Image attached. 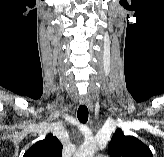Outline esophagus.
I'll list each match as a JSON object with an SVG mask.
<instances>
[{"label": "esophagus", "mask_w": 164, "mask_h": 157, "mask_svg": "<svg viewBox=\"0 0 164 157\" xmlns=\"http://www.w3.org/2000/svg\"><path fill=\"white\" fill-rule=\"evenodd\" d=\"M80 102L81 104H85L90 111L93 110V103L89 100V98L86 95L81 96Z\"/></svg>", "instance_id": "obj_1"}]
</instances>
